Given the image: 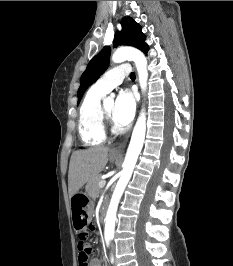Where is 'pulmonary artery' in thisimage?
I'll list each match as a JSON object with an SVG mask.
<instances>
[{"label":"pulmonary artery","instance_id":"1","mask_svg":"<svg viewBox=\"0 0 233 266\" xmlns=\"http://www.w3.org/2000/svg\"><path fill=\"white\" fill-rule=\"evenodd\" d=\"M130 73V66L127 64H122L116 66L109 71H107L103 76H101L94 86L99 90L108 93L116 86L120 85L123 79Z\"/></svg>","mask_w":233,"mask_h":266}]
</instances>
